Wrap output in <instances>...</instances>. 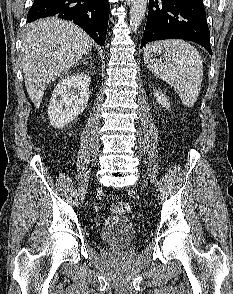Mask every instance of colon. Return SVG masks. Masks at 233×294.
<instances>
[{
    "mask_svg": "<svg viewBox=\"0 0 233 294\" xmlns=\"http://www.w3.org/2000/svg\"><path fill=\"white\" fill-rule=\"evenodd\" d=\"M111 209L113 213L123 215L127 214L130 211L131 205L128 202L120 201L114 203Z\"/></svg>",
    "mask_w": 233,
    "mask_h": 294,
    "instance_id": "colon-1",
    "label": "colon"
}]
</instances>
